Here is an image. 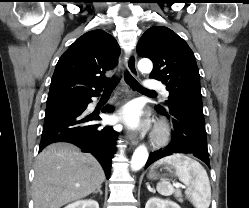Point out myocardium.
Segmentation results:
<instances>
[{"instance_id":"obj_1","label":"myocardium","mask_w":249,"mask_h":208,"mask_svg":"<svg viewBox=\"0 0 249 208\" xmlns=\"http://www.w3.org/2000/svg\"><path fill=\"white\" fill-rule=\"evenodd\" d=\"M170 136V130L167 124L159 123L153 135L154 143L161 145L164 144Z\"/></svg>"}]
</instances>
